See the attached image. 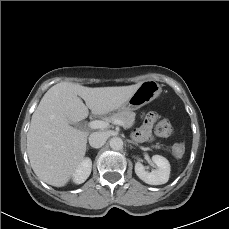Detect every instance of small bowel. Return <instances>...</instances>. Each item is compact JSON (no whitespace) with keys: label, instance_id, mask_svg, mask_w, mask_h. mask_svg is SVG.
I'll return each mask as SVG.
<instances>
[{"label":"small bowel","instance_id":"c3829d8e","mask_svg":"<svg viewBox=\"0 0 229 229\" xmlns=\"http://www.w3.org/2000/svg\"><path fill=\"white\" fill-rule=\"evenodd\" d=\"M156 120L157 115L154 113H147L144 115L143 125L136 131L135 134L138 140L143 141L149 137L150 129ZM177 147H182L184 149V145L182 143L175 144L173 150Z\"/></svg>","mask_w":229,"mask_h":229}]
</instances>
